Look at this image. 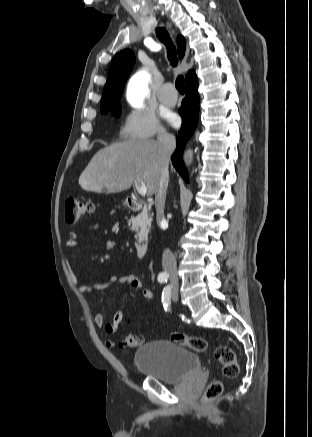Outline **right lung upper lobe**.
Masks as SVG:
<instances>
[{
	"mask_svg": "<svg viewBox=\"0 0 312 437\" xmlns=\"http://www.w3.org/2000/svg\"><path fill=\"white\" fill-rule=\"evenodd\" d=\"M177 45L179 58H182L186 48L185 40L182 36L178 37ZM134 62L135 56L130 49H125L115 55L108 72L107 82L100 102L102 113L120 106L118 101L121 98L125 81L133 68ZM194 74L193 70L188 71L185 81Z\"/></svg>",
	"mask_w": 312,
	"mask_h": 437,
	"instance_id": "cb5924a9",
	"label": "right lung upper lobe"
}]
</instances>
